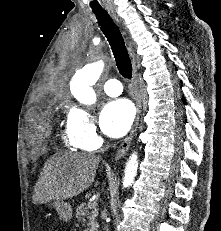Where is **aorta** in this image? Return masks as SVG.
<instances>
[{
  "label": "aorta",
  "mask_w": 221,
  "mask_h": 231,
  "mask_svg": "<svg viewBox=\"0 0 221 231\" xmlns=\"http://www.w3.org/2000/svg\"><path fill=\"white\" fill-rule=\"evenodd\" d=\"M104 68L102 60L86 65L77 71L70 83V90L73 96L82 104L92 105L96 102V94L92 88L101 76ZM138 169V156L133 153L126 163L123 187L132 185Z\"/></svg>",
  "instance_id": "762f6f07"
}]
</instances>
